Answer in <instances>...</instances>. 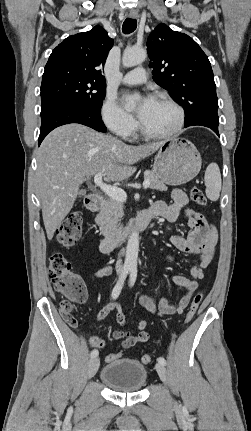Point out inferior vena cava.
Segmentation results:
<instances>
[{
	"label": "inferior vena cava",
	"mask_w": 251,
	"mask_h": 431,
	"mask_svg": "<svg viewBox=\"0 0 251 431\" xmlns=\"http://www.w3.org/2000/svg\"><path fill=\"white\" fill-rule=\"evenodd\" d=\"M116 271H117L118 274L121 273V271H122V260H118L117 261Z\"/></svg>",
	"instance_id": "602c4592"
}]
</instances>
